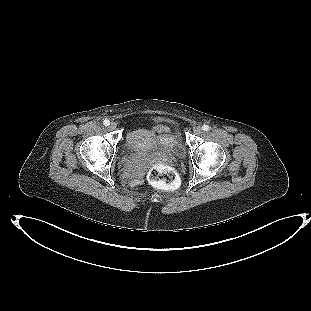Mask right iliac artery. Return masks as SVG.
Listing matches in <instances>:
<instances>
[{
	"instance_id": "right-iliac-artery-1",
	"label": "right iliac artery",
	"mask_w": 311,
	"mask_h": 311,
	"mask_svg": "<svg viewBox=\"0 0 311 311\" xmlns=\"http://www.w3.org/2000/svg\"><path fill=\"white\" fill-rule=\"evenodd\" d=\"M103 124H104L105 126H108V125L110 124V121H109L108 119H105V120L103 121Z\"/></svg>"
}]
</instances>
